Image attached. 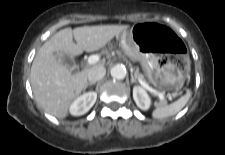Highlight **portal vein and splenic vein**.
I'll list each match as a JSON object with an SVG mask.
<instances>
[{
	"instance_id": "obj_1",
	"label": "portal vein and splenic vein",
	"mask_w": 225,
	"mask_h": 155,
	"mask_svg": "<svg viewBox=\"0 0 225 155\" xmlns=\"http://www.w3.org/2000/svg\"><path fill=\"white\" fill-rule=\"evenodd\" d=\"M99 61V56L98 55H91L88 57L87 62L88 64H95ZM139 83L146 88L147 90H149L150 92L154 93L156 96H158L160 99H164V95L161 92L156 91L155 89H153L152 87H150L143 79L138 78Z\"/></svg>"
}]
</instances>
